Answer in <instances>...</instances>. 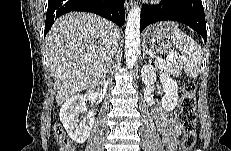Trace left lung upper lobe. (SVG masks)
I'll return each mask as SVG.
<instances>
[{
  "instance_id": "obj_1",
  "label": "left lung upper lobe",
  "mask_w": 231,
  "mask_h": 151,
  "mask_svg": "<svg viewBox=\"0 0 231 151\" xmlns=\"http://www.w3.org/2000/svg\"><path fill=\"white\" fill-rule=\"evenodd\" d=\"M177 0H166L165 2H167L169 5H172L174 2H176Z\"/></svg>"
}]
</instances>
